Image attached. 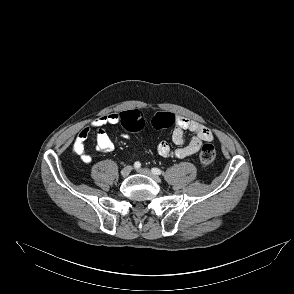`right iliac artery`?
<instances>
[{
    "label": "right iliac artery",
    "instance_id": "1",
    "mask_svg": "<svg viewBox=\"0 0 294 294\" xmlns=\"http://www.w3.org/2000/svg\"><path fill=\"white\" fill-rule=\"evenodd\" d=\"M140 166H141L140 162L137 161V162L134 163V167L136 169L140 168Z\"/></svg>",
    "mask_w": 294,
    "mask_h": 294
}]
</instances>
